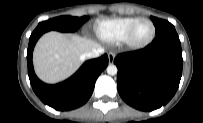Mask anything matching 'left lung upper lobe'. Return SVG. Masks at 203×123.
I'll use <instances>...</instances> for the list:
<instances>
[{"mask_svg":"<svg viewBox=\"0 0 203 123\" xmlns=\"http://www.w3.org/2000/svg\"><path fill=\"white\" fill-rule=\"evenodd\" d=\"M154 23L156 35L162 34L166 31L175 30L174 26L166 20L151 17Z\"/></svg>","mask_w":203,"mask_h":123,"instance_id":"5c2ea615","label":"left lung upper lobe"}]
</instances>
